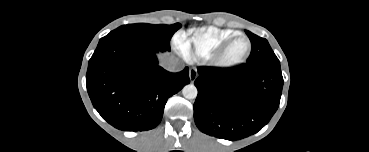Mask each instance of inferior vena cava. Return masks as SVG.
Returning <instances> with one entry per match:
<instances>
[{
    "label": "inferior vena cava",
    "instance_id": "inferior-vena-cava-1",
    "mask_svg": "<svg viewBox=\"0 0 369 152\" xmlns=\"http://www.w3.org/2000/svg\"><path fill=\"white\" fill-rule=\"evenodd\" d=\"M162 66L170 72H179L183 69V65L175 58H168L162 62Z\"/></svg>",
    "mask_w": 369,
    "mask_h": 152
}]
</instances>
